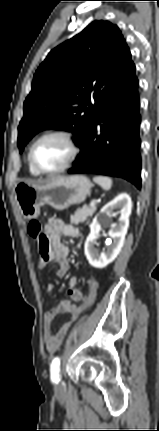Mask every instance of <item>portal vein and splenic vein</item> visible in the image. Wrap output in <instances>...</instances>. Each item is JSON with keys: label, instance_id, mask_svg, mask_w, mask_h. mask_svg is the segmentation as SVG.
I'll list each match as a JSON object with an SVG mask.
<instances>
[{"label": "portal vein and splenic vein", "instance_id": "portal-vein-and-splenic-vein-1", "mask_svg": "<svg viewBox=\"0 0 159 431\" xmlns=\"http://www.w3.org/2000/svg\"><path fill=\"white\" fill-rule=\"evenodd\" d=\"M96 206V202L95 201H92L91 203H90V207H95Z\"/></svg>", "mask_w": 159, "mask_h": 431}]
</instances>
